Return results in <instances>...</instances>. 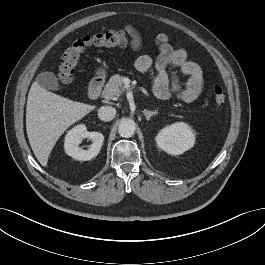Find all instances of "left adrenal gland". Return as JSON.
<instances>
[{
	"mask_svg": "<svg viewBox=\"0 0 265 265\" xmlns=\"http://www.w3.org/2000/svg\"><path fill=\"white\" fill-rule=\"evenodd\" d=\"M143 113H144V115H145V117H146V120L147 121H149L150 119H151V117L152 116H154V115H156L157 113H158V111L157 110H155V111H149V110H144L143 111Z\"/></svg>",
	"mask_w": 265,
	"mask_h": 265,
	"instance_id": "left-adrenal-gland-1",
	"label": "left adrenal gland"
}]
</instances>
